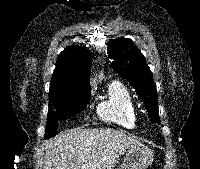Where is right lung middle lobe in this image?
<instances>
[{"label":"right lung middle lobe","mask_w":200,"mask_h":169,"mask_svg":"<svg viewBox=\"0 0 200 169\" xmlns=\"http://www.w3.org/2000/svg\"><path fill=\"white\" fill-rule=\"evenodd\" d=\"M90 96L91 92H85L72 97L50 100L56 110L54 111L50 108L48 111L45 138L52 137L56 134L58 119L64 120L77 114L87 105Z\"/></svg>","instance_id":"dd1d6c3e"}]
</instances>
